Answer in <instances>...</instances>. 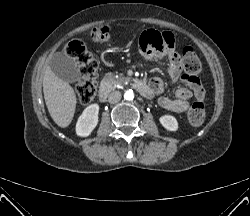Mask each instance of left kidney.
<instances>
[{
    "label": "left kidney",
    "mask_w": 250,
    "mask_h": 216,
    "mask_svg": "<svg viewBox=\"0 0 250 216\" xmlns=\"http://www.w3.org/2000/svg\"><path fill=\"white\" fill-rule=\"evenodd\" d=\"M161 125L168 131L176 132L178 130V121L172 115H163L159 118Z\"/></svg>",
    "instance_id": "obj_1"
}]
</instances>
